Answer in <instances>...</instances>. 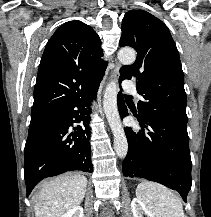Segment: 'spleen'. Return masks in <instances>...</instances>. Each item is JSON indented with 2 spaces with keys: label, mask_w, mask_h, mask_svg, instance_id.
I'll return each instance as SVG.
<instances>
[{
  "label": "spleen",
  "mask_w": 211,
  "mask_h": 217,
  "mask_svg": "<svg viewBox=\"0 0 211 217\" xmlns=\"http://www.w3.org/2000/svg\"><path fill=\"white\" fill-rule=\"evenodd\" d=\"M136 196L153 217H185L180 199L161 184L143 181L136 188Z\"/></svg>",
  "instance_id": "3e777b00"
}]
</instances>
